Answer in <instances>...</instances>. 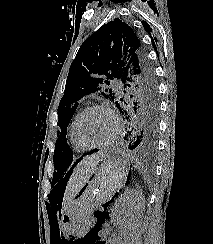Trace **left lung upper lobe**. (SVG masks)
<instances>
[{"label":"left lung upper lobe","instance_id":"obj_1","mask_svg":"<svg viewBox=\"0 0 213 244\" xmlns=\"http://www.w3.org/2000/svg\"><path fill=\"white\" fill-rule=\"evenodd\" d=\"M98 94L115 102L135 118L158 117L157 84L153 69L133 29L116 18L87 38L73 60L58 107L54 166L66 170L73 155L67 144V126L86 95ZM126 105L125 110L119 103Z\"/></svg>","mask_w":213,"mask_h":244}]
</instances>
